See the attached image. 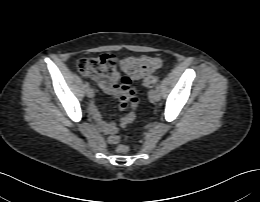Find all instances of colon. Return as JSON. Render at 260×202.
Instances as JSON below:
<instances>
[{"label":"colon","instance_id":"colon-1","mask_svg":"<svg viewBox=\"0 0 260 202\" xmlns=\"http://www.w3.org/2000/svg\"><path fill=\"white\" fill-rule=\"evenodd\" d=\"M161 65L156 56H126L117 59L113 54H103L93 58H82L77 62V69L82 75L99 83L108 82L118 77V69L123 72L122 82L129 83L132 79H142V84L151 87L158 82L153 72ZM119 153H126L127 146L119 145Z\"/></svg>","mask_w":260,"mask_h":202}]
</instances>
